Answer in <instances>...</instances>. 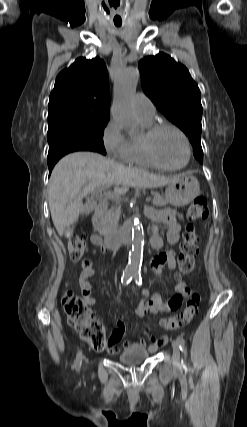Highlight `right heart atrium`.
I'll use <instances>...</instances> for the list:
<instances>
[{
  "label": "right heart atrium",
  "mask_w": 247,
  "mask_h": 427,
  "mask_svg": "<svg viewBox=\"0 0 247 427\" xmlns=\"http://www.w3.org/2000/svg\"><path fill=\"white\" fill-rule=\"evenodd\" d=\"M102 143L106 152L113 158L126 161L128 139L115 121L110 120L102 131Z\"/></svg>",
  "instance_id": "1"
}]
</instances>
